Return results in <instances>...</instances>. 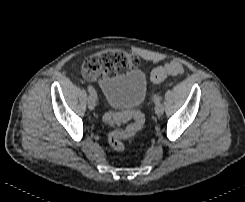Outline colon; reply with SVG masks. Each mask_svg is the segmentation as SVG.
Wrapping results in <instances>:
<instances>
[{"mask_svg": "<svg viewBox=\"0 0 245 202\" xmlns=\"http://www.w3.org/2000/svg\"><path fill=\"white\" fill-rule=\"evenodd\" d=\"M132 65V59L123 50H105L96 52L84 60L81 66L82 74L89 79H99L102 77H112L116 74H124ZM183 72V65L177 60L165 63L156 68L154 77L162 81L168 75H178ZM124 119H130L131 123L121 129H116L108 135V144L115 151L122 152L126 149V140L139 132L145 123L144 115L141 111L133 110L124 117L111 112L103 115L104 122L114 125Z\"/></svg>", "mask_w": 245, "mask_h": 202, "instance_id": "obj_1", "label": "colon"}]
</instances>
